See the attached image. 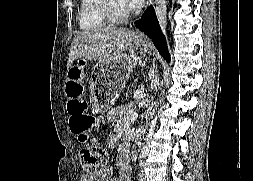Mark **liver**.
Masks as SVG:
<instances>
[{"mask_svg":"<svg viewBox=\"0 0 253 181\" xmlns=\"http://www.w3.org/2000/svg\"><path fill=\"white\" fill-rule=\"evenodd\" d=\"M137 39L135 32L121 27L105 26L84 30L72 40L67 67L79 59L98 62L117 59Z\"/></svg>","mask_w":253,"mask_h":181,"instance_id":"6515ba94","label":"liver"}]
</instances>
